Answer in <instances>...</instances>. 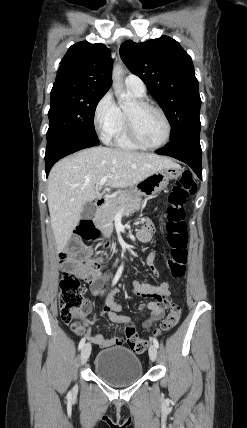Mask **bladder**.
<instances>
[{"mask_svg":"<svg viewBox=\"0 0 247 428\" xmlns=\"http://www.w3.org/2000/svg\"><path fill=\"white\" fill-rule=\"evenodd\" d=\"M94 373L110 385L125 386L143 376V366L133 350L114 346L98 352L94 360Z\"/></svg>","mask_w":247,"mask_h":428,"instance_id":"1","label":"bladder"}]
</instances>
